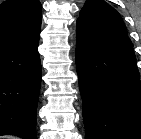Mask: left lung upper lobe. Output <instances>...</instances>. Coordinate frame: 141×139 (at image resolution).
I'll list each match as a JSON object with an SVG mask.
<instances>
[{
  "instance_id": "1",
  "label": "left lung upper lobe",
  "mask_w": 141,
  "mask_h": 139,
  "mask_svg": "<svg viewBox=\"0 0 141 139\" xmlns=\"http://www.w3.org/2000/svg\"><path fill=\"white\" fill-rule=\"evenodd\" d=\"M77 21L101 31L127 36L121 16L104 0H87Z\"/></svg>"
}]
</instances>
